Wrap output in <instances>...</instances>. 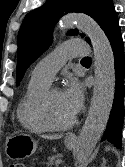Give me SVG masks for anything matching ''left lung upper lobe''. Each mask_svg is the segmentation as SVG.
<instances>
[{
	"label": "left lung upper lobe",
	"instance_id": "5c2ea615",
	"mask_svg": "<svg viewBox=\"0 0 125 167\" xmlns=\"http://www.w3.org/2000/svg\"><path fill=\"white\" fill-rule=\"evenodd\" d=\"M83 12L91 16L107 34L118 19L112 0H47L29 12L18 33L16 77L19 83L27 68L49 47L52 31L64 13ZM69 35H76L71 30ZM83 36V35H82ZM90 43V39L86 38Z\"/></svg>",
	"mask_w": 125,
	"mask_h": 167
}]
</instances>
